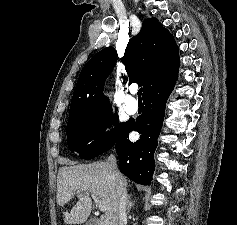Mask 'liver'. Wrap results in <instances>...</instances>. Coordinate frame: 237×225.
<instances>
[{"instance_id": "liver-1", "label": "liver", "mask_w": 237, "mask_h": 225, "mask_svg": "<svg viewBox=\"0 0 237 225\" xmlns=\"http://www.w3.org/2000/svg\"><path fill=\"white\" fill-rule=\"evenodd\" d=\"M121 177L122 186L126 189L127 180L122 175ZM117 186L108 162L61 167L57 176L58 205L64 207L76 194L79 199L70 212H63L64 223L79 225L86 222L92 210V200L89 197L91 193L107 207L97 225H119Z\"/></svg>"}]
</instances>
